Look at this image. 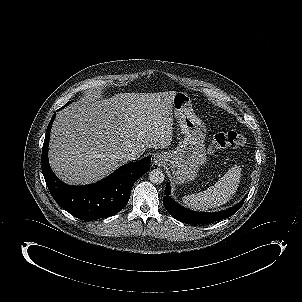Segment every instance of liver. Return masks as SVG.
I'll use <instances>...</instances> for the list:
<instances>
[{
  "instance_id": "liver-1",
  "label": "liver",
  "mask_w": 302,
  "mask_h": 302,
  "mask_svg": "<svg viewBox=\"0 0 302 302\" xmlns=\"http://www.w3.org/2000/svg\"><path fill=\"white\" fill-rule=\"evenodd\" d=\"M175 91L119 93L110 98L91 97L60 111L53 123L49 162L68 184H89L127 163L130 150L171 145V116Z\"/></svg>"
}]
</instances>
